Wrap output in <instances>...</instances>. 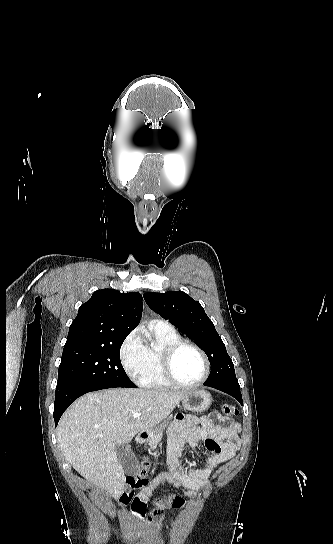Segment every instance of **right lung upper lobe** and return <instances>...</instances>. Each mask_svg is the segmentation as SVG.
<instances>
[{"instance_id": "cb5924a9", "label": "right lung upper lobe", "mask_w": 333, "mask_h": 544, "mask_svg": "<svg viewBox=\"0 0 333 544\" xmlns=\"http://www.w3.org/2000/svg\"><path fill=\"white\" fill-rule=\"evenodd\" d=\"M142 296L137 292L120 293L102 289L78 310L73 320L64 349L83 345L106 344L127 336L140 322Z\"/></svg>"}]
</instances>
